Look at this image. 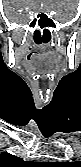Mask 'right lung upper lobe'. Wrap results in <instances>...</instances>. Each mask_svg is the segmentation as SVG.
<instances>
[{
  "label": "right lung upper lobe",
  "mask_w": 81,
  "mask_h": 167,
  "mask_svg": "<svg viewBox=\"0 0 81 167\" xmlns=\"http://www.w3.org/2000/svg\"><path fill=\"white\" fill-rule=\"evenodd\" d=\"M0 163L1 167H36L38 165L8 153L0 154Z\"/></svg>",
  "instance_id": "right-lung-upper-lobe-1"
}]
</instances>
